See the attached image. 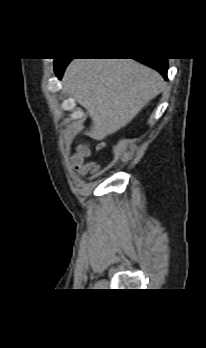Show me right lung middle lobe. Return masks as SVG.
<instances>
[{"label":"right lung middle lobe","instance_id":"right-lung-middle-lobe-1","mask_svg":"<svg viewBox=\"0 0 206 348\" xmlns=\"http://www.w3.org/2000/svg\"><path fill=\"white\" fill-rule=\"evenodd\" d=\"M59 62H60V59H55L54 65L57 64V63H59Z\"/></svg>","mask_w":206,"mask_h":348}]
</instances>
